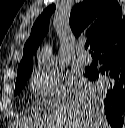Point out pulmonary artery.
<instances>
[{
	"label": "pulmonary artery",
	"instance_id": "obj_1",
	"mask_svg": "<svg viewBox=\"0 0 125 128\" xmlns=\"http://www.w3.org/2000/svg\"><path fill=\"white\" fill-rule=\"evenodd\" d=\"M78 51L77 60L79 63L87 64L91 62V57L84 51V45L82 43L78 45Z\"/></svg>",
	"mask_w": 125,
	"mask_h": 128
}]
</instances>
